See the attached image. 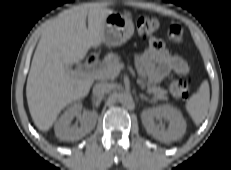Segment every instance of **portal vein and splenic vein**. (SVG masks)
I'll return each instance as SVG.
<instances>
[{
  "mask_svg": "<svg viewBox=\"0 0 231 170\" xmlns=\"http://www.w3.org/2000/svg\"><path fill=\"white\" fill-rule=\"evenodd\" d=\"M123 68L124 64H119L116 66H111L108 69H99L93 73V76L98 79H113L120 73L121 69ZM68 72L72 75L78 74L76 70L71 68L68 69Z\"/></svg>",
  "mask_w": 231,
  "mask_h": 170,
  "instance_id": "18ae733b",
  "label": "portal vein and splenic vein"
}]
</instances>
